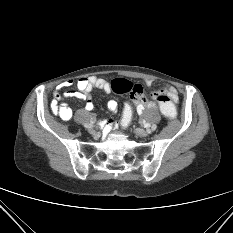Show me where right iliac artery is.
<instances>
[{"mask_svg": "<svg viewBox=\"0 0 233 233\" xmlns=\"http://www.w3.org/2000/svg\"><path fill=\"white\" fill-rule=\"evenodd\" d=\"M84 127H85V128H92L93 125H92V124H85Z\"/></svg>", "mask_w": 233, "mask_h": 233, "instance_id": "right-iliac-artery-1", "label": "right iliac artery"}]
</instances>
